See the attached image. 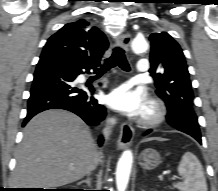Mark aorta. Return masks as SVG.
Returning <instances> with one entry per match:
<instances>
[{"label":"aorta","mask_w":218,"mask_h":191,"mask_svg":"<svg viewBox=\"0 0 218 191\" xmlns=\"http://www.w3.org/2000/svg\"><path fill=\"white\" fill-rule=\"evenodd\" d=\"M132 50L136 53H142L148 49V43L144 38H135L131 43ZM133 163V154L131 150H125L117 164L116 183L118 191H125L129 182L130 172Z\"/></svg>","instance_id":"aorta-1"}]
</instances>
